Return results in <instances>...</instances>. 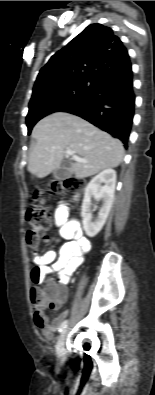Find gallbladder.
I'll return each mask as SVG.
<instances>
[{"mask_svg": "<svg viewBox=\"0 0 155 395\" xmlns=\"http://www.w3.org/2000/svg\"><path fill=\"white\" fill-rule=\"evenodd\" d=\"M56 179L62 180L71 176L70 168L67 165H62L59 169L53 172Z\"/></svg>", "mask_w": 155, "mask_h": 395, "instance_id": "gallbladder-1", "label": "gallbladder"}]
</instances>
